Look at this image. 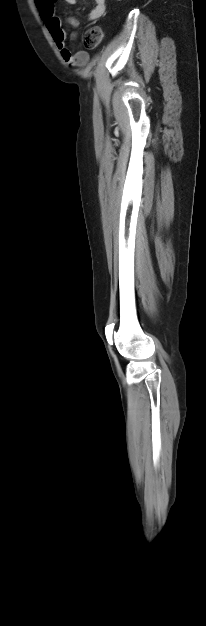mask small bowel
I'll return each mask as SVG.
<instances>
[{"label": "small bowel", "instance_id": "1", "mask_svg": "<svg viewBox=\"0 0 206 626\" xmlns=\"http://www.w3.org/2000/svg\"><path fill=\"white\" fill-rule=\"evenodd\" d=\"M77 0H65L69 4L76 3ZM95 6L88 15L89 20L101 19L106 11V0H94ZM40 10V15L51 34V37L57 46L62 59L69 65L74 67L85 66L89 61V55L86 51H73L67 43V35L61 26V20L55 15L53 0H36ZM67 22L73 26H78V21L69 17Z\"/></svg>", "mask_w": 206, "mask_h": 626}]
</instances>
